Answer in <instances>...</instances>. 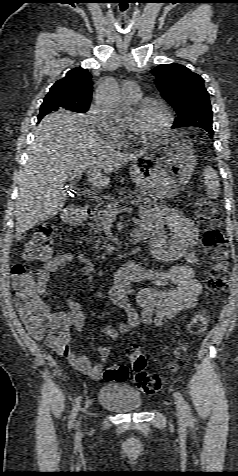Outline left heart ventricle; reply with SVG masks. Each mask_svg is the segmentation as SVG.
Returning a JSON list of instances; mask_svg holds the SVG:
<instances>
[{"instance_id": "obj_1", "label": "left heart ventricle", "mask_w": 238, "mask_h": 476, "mask_svg": "<svg viewBox=\"0 0 238 476\" xmlns=\"http://www.w3.org/2000/svg\"><path fill=\"white\" fill-rule=\"evenodd\" d=\"M165 122V114L158 106H149L139 112L132 109L125 117V123L137 134L146 136L160 129Z\"/></svg>"}]
</instances>
